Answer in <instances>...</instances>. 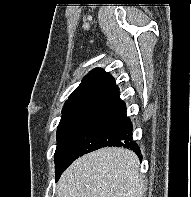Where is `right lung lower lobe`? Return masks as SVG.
Here are the masks:
<instances>
[{
  "instance_id": "obj_1",
  "label": "right lung lower lobe",
  "mask_w": 191,
  "mask_h": 197,
  "mask_svg": "<svg viewBox=\"0 0 191 197\" xmlns=\"http://www.w3.org/2000/svg\"><path fill=\"white\" fill-rule=\"evenodd\" d=\"M133 126L126 115V105L119 89L96 104L80 128L62 172L79 156L106 146H123L140 156L139 146L132 140Z\"/></svg>"
}]
</instances>
